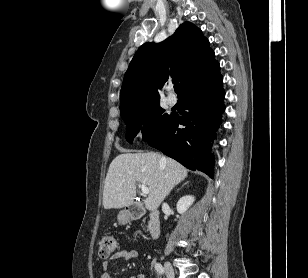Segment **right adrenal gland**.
<instances>
[{"label": "right adrenal gland", "mask_w": 308, "mask_h": 278, "mask_svg": "<svg viewBox=\"0 0 308 278\" xmlns=\"http://www.w3.org/2000/svg\"><path fill=\"white\" fill-rule=\"evenodd\" d=\"M188 182H185L180 188H178L176 191H179L182 187H184Z\"/></svg>", "instance_id": "obj_1"}]
</instances>
